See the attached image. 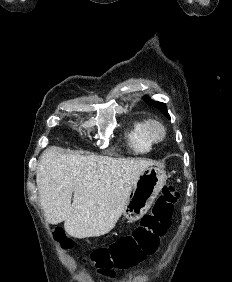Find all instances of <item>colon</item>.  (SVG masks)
<instances>
[{
	"label": "colon",
	"instance_id": "obj_1",
	"mask_svg": "<svg viewBox=\"0 0 232 282\" xmlns=\"http://www.w3.org/2000/svg\"><path fill=\"white\" fill-rule=\"evenodd\" d=\"M178 198L179 194L173 186H164L151 212L143 216L132 234L119 238L108 247L94 250L90 254L89 261L99 272L108 273L115 269L132 268L146 256L153 254L159 239L171 225ZM53 236L62 248L71 247V240L61 229H56Z\"/></svg>",
	"mask_w": 232,
	"mask_h": 282
}]
</instances>
